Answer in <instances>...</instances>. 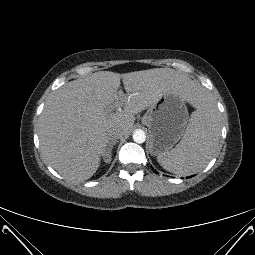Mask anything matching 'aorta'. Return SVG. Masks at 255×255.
Masks as SVG:
<instances>
[{
	"label": "aorta",
	"mask_w": 255,
	"mask_h": 255,
	"mask_svg": "<svg viewBox=\"0 0 255 255\" xmlns=\"http://www.w3.org/2000/svg\"><path fill=\"white\" fill-rule=\"evenodd\" d=\"M132 137H133V140L139 144L144 143L146 140L145 132L140 129L135 130Z\"/></svg>",
	"instance_id": "obj_1"
}]
</instances>
